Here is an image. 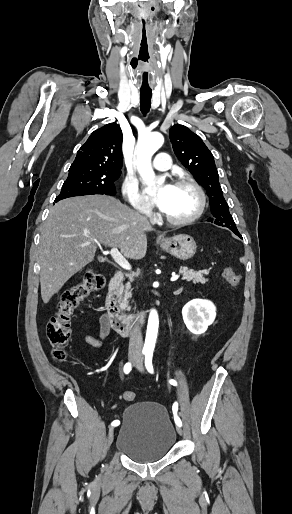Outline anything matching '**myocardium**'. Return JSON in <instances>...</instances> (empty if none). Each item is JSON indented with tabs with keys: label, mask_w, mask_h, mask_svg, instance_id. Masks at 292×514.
Segmentation results:
<instances>
[{
	"label": "myocardium",
	"mask_w": 292,
	"mask_h": 514,
	"mask_svg": "<svg viewBox=\"0 0 292 514\" xmlns=\"http://www.w3.org/2000/svg\"><path fill=\"white\" fill-rule=\"evenodd\" d=\"M174 186L191 188L197 196V206H196L195 210L189 216L184 217V218H172V217L168 216L167 214H165L164 212H162V217L164 218L165 221H167L168 223H170L172 225H185V224L191 223L194 220H196L202 214V212L204 210V207H205L204 192H203L201 186L196 181H194L193 179H190V178H181L176 181Z\"/></svg>",
	"instance_id": "1"
}]
</instances>
